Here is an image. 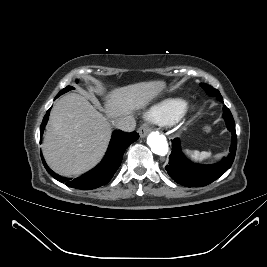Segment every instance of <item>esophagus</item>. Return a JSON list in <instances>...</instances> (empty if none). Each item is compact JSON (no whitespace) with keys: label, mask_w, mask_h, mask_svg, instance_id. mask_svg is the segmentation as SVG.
Masks as SVG:
<instances>
[{"label":"esophagus","mask_w":267,"mask_h":267,"mask_svg":"<svg viewBox=\"0 0 267 267\" xmlns=\"http://www.w3.org/2000/svg\"><path fill=\"white\" fill-rule=\"evenodd\" d=\"M149 132H150V128L146 124H143L142 126H140L139 128L140 137L142 138L145 137Z\"/></svg>","instance_id":"1"}]
</instances>
